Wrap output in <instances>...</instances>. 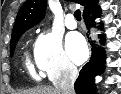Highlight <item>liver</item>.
Instances as JSON below:
<instances>
[{
	"label": "liver",
	"mask_w": 121,
	"mask_h": 94,
	"mask_svg": "<svg viewBox=\"0 0 121 94\" xmlns=\"http://www.w3.org/2000/svg\"><path fill=\"white\" fill-rule=\"evenodd\" d=\"M18 94H59L56 88L52 86H39L34 89L24 90Z\"/></svg>",
	"instance_id": "liver-1"
}]
</instances>
